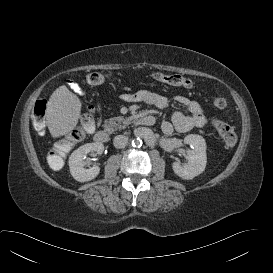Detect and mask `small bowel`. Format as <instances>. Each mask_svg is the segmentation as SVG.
I'll use <instances>...</instances> for the list:
<instances>
[{
  "label": "small bowel",
  "instance_id": "1",
  "mask_svg": "<svg viewBox=\"0 0 273 273\" xmlns=\"http://www.w3.org/2000/svg\"><path fill=\"white\" fill-rule=\"evenodd\" d=\"M69 85L76 93L83 94V90L78 83L71 81ZM122 99L126 102H141L161 108L168 104V99L165 96L148 90L125 94ZM175 100L187 109L188 114L177 110L173 112L171 120H164L161 123V130L166 136L172 135L175 131L185 133L207 124L203 109L197 101L185 96H176Z\"/></svg>",
  "mask_w": 273,
  "mask_h": 273
}]
</instances>
